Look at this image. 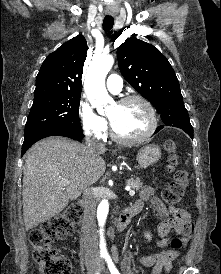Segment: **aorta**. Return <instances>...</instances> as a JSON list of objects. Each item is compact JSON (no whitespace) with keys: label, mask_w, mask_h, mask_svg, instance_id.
I'll use <instances>...</instances> for the list:
<instances>
[{"label":"aorta","mask_w":221,"mask_h":274,"mask_svg":"<svg viewBox=\"0 0 221 274\" xmlns=\"http://www.w3.org/2000/svg\"><path fill=\"white\" fill-rule=\"evenodd\" d=\"M114 64L112 56H103L94 60L85 77L84 89L90 103L98 111L103 110V106L111 102L106 87L105 78ZM109 211L108 200L104 199L99 203L97 210V219L100 226V250L106 253V243L104 239V225Z\"/></svg>","instance_id":"762f6f07"}]
</instances>
